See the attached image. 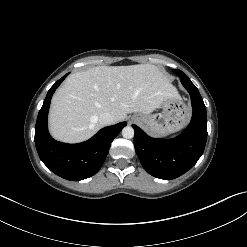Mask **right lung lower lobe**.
<instances>
[{
	"instance_id": "98d812e1",
	"label": "right lung lower lobe",
	"mask_w": 247,
	"mask_h": 247,
	"mask_svg": "<svg viewBox=\"0 0 247 247\" xmlns=\"http://www.w3.org/2000/svg\"><path fill=\"white\" fill-rule=\"evenodd\" d=\"M68 74L49 89L35 126V145L40 159L55 174L67 180L89 178L101 168L113 139L126 126L121 122L101 129L95 136L79 144H65L52 139L47 129V116L53 93Z\"/></svg>"
}]
</instances>
